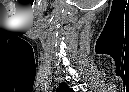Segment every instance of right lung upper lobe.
I'll list each match as a JSON object with an SVG mask.
<instances>
[{"label": "right lung upper lobe", "mask_w": 129, "mask_h": 92, "mask_svg": "<svg viewBox=\"0 0 129 92\" xmlns=\"http://www.w3.org/2000/svg\"><path fill=\"white\" fill-rule=\"evenodd\" d=\"M60 89L62 91H70L71 90L65 83L60 84Z\"/></svg>", "instance_id": "cb5924a9"}]
</instances>
